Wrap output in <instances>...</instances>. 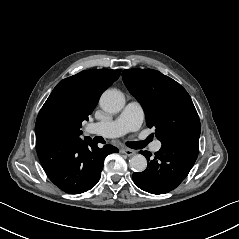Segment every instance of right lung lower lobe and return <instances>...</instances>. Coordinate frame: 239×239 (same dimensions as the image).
Instances as JSON below:
<instances>
[{"label":"right lung lower lobe","mask_w":239,"mask_h":239,"mask_svg":"<svg viewBox=\"0 0 239 239\" xmlns=\"http://www.w3.org/2000/svg\"><path fill=\"white\" fill-rule=\"evenodd\" d=\"M36 150L48 178L71 194L93 188L100 179L105 157L118 152L111 145L98 148L90 137L82 140L56 133L36 138Z\"/></svg>","instance_id":"98d812e1"}]
</instances>
